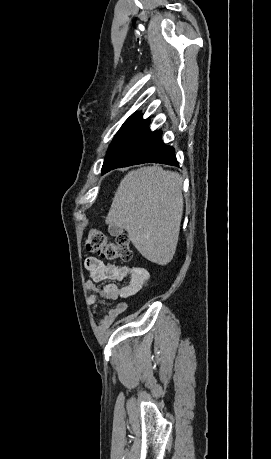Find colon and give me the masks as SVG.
Listing matches in <instances>:
<instances>
[{
    "instance_id": "colon-1",
    "label": "colon",
    "mask_w": 271,
    "mask_h": 459,
    "mask_svg": "<svg viewBox=\"0 0 271 459\" xmlns=\"http://www.w3.org/2000/svg\"><path fill=\"white\" fill-rule=\"evenodd\" d=\"M86 248L97 253L101 258L106 260H123L132 259L133 251L130 240L127 235L121 234L114 240H110L107 235L99 229H89L87 231Z\"/></svg>"
}]
</instances>
